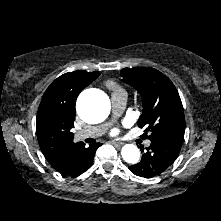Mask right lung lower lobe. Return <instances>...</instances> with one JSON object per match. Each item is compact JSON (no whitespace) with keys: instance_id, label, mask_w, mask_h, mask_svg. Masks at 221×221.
Wrapping results in <instances>:
<instances>
[{"instance_id":"right-lung-lower-lobe-1","label":"right lung lower lobe","mask_w":221,"mask_h":221,"mask_svg":"<svg viewBox=\"0 0 221 221\" xmlns=\"http://www.w3.org/2000/svg\"><path fill=\"white\" fill-rule=\"evenodd\" d=\"M100 145V143L91 144L89 147L82 145L66 153L65 161L54 169L65 176H76L85 172L91 167L94 153Z\"/></svg>"}]
</instances>
